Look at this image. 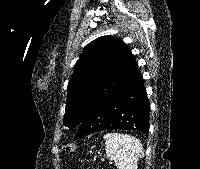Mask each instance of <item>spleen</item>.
Masks as SVG:
<instances>
[{"mask_svg": "<svg viewBox=\"0 0 200 169\" xmlns=\"http://www.w3.org/2000/svg\"><path fill=\"white\" fill-rule=\"evenodd\" d=\"M106 157L113 160L118 169H137L142 144L131 135L107 133L104 135Z\"/></svg>", "mask_w": 200, "mask_h": 169, "instance_id": "obj_1", "label": "spleen"}]
</instances>
